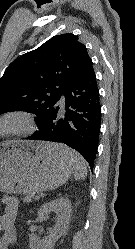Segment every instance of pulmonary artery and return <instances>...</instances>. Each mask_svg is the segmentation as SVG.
Masks as SVG:
<instances>
[{"label":"pulmonary artery","instance_id":"pulmonary-artery-1","mask_svg":"<svg viewBox=\"0 0 135 249\" xmlns=\"http://www.w3.org/2000/svg\"><path fill=\"white\" fill-rule=\"evenodd\" d=\"M61 100L63 101V100H64V97H62Z\"/></svg>","mask_w":135,"mask_h":249}]
</instances>
